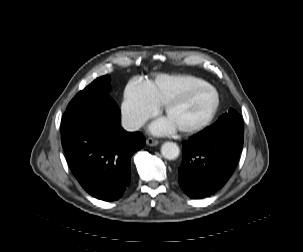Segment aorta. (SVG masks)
<instances>
[{
  "label": "aorta",
  "instance_id": "1",
  "mask_svg": "<svg viewBox=\"0 0 303 252\" xmlns=\"http://www.w3.org/2000/svg\"><path fill=\"white\" fill-rule=\"evenodd\" d=\"M179 147L176 143L165 142L161 146V154L168 160H174L179 156Z\"/></svg>",
  "mask_w": 303,
  "mask_h": 252
}]
</instances>
